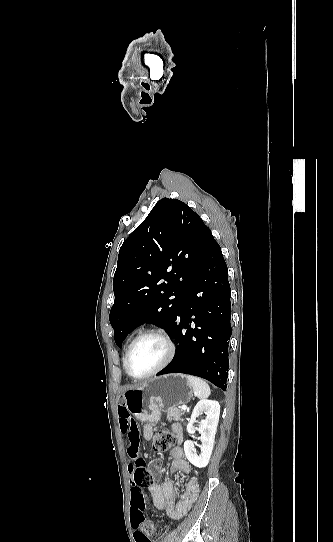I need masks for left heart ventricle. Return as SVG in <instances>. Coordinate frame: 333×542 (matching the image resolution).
Masks as SVG:
<instances>
[{
  "mask_svg": "<svg viewBox=\"0 0 333 542\" xmlns=\"http://www.w3.org/2000/svg\"><path fill=\"white\" fill-rule=\"evenodd\" d=\"M163 342L154 337L140 340L133 348L129 360L128 369L134 376H142L154 370L165 357Z\"/></svg>",
  "mask_w": 333,
  "mask_h": 542,
  "instance_id": "1",
  "label": "left heart ventricle"
}]
</instances>
